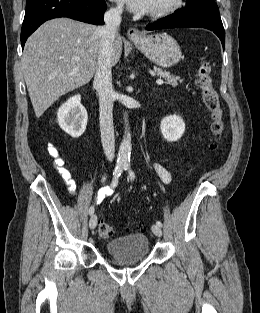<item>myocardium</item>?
<instances>
[{
  "label": "myocardium",
  "instance_id": "myocardium-1",
  "mask_svg": "<svg viewBox=\"0 0 260 313\" xmlns=\"http://www.w3.org/2000/svg\"><path fill=\"white\" fill-rule=\"evenodd\" d=\"M183 5V0H170L163 8L149 12L151 18L159 19L170 16L177 12Z\"/></svg>",
  "mask_w": 260,
  "mask_h": 313
}]
</instances>
